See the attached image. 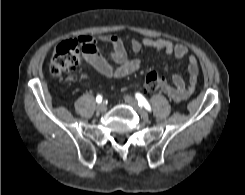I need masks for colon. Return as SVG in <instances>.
Returning a JSON list of instances; mask_svg holds the SVG:
<instances>
[{"instance_id": "5ec220e1", "label": "colon", "mask_w": 245, "mask_h": 195, "mask_svg": "<svg viewBox=\"0 0 245 195\" xmlns=\"http://www.w3.org/2000/svg\"><path fill=\"white\" fill-rule=\"evenodd\" d=\"M84 48L76 40H66L59 43L50 60L49 70L55 76L77 67ZM164 79L155 72L149 73L144 80V90L148 93L155 92L162 88Z\"/></svg>"}]
</instances>
